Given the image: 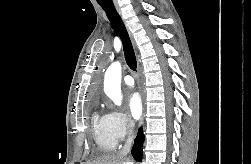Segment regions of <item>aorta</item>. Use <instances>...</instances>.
Segmentation results:
<instances>
[{
    "label": "aorta",
    "mask_w": 251,
    "mask_h": 164,
    "mask_svg": "<svg viewBox=\"0 0 251 164\" xmlns=\"http://www.w3.org/2000/svg\"><path fill=\"white\" fill-rule=\"evenodd\" d=\"M121 73V64L116 61L108 67L104 77V92L115 105H121L122 102Z\"/></svg>",
    "instance_id": "762f6f07"
}]
</instances>
